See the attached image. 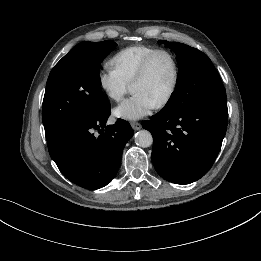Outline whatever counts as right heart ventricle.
<instances>
[{"label": "right heart ventricle", "mask_w": 261, "mask_h": 261, "mask_svg": "<svg viewBox=\"0 0 261 261\" xmlns=\"http://www.w3.org/2000/svg\"><path fill=\"white\" fill-rule=\"evenodd\" d=\"M158 48L149 45H132L119 50L109 65L124 81L130 84L143 61Z\"/></svg>", "instance_id": "1"}]
</instances>
